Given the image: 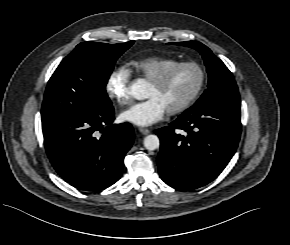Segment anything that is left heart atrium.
I'll return each instance as SVG.
<instances>
[{"instance_id": "39dd6f15", "label": "left heart atrium", "mask_w": 290, "mask_h": 245, "mask_svg": "<svg viewBox=\"0 0 290 245\" xmlns=\"http://www.w3.org/2000/svg\"><path fill=\"white\" fill-rule=\"evenodd\" d=\"M167 112L165 106L155 97L134 104L122 113V118L139 126H149L162 120Z\"/></svg>"}]
</instances>
